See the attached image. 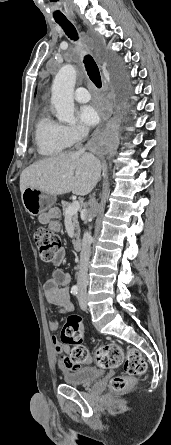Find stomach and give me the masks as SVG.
I'll return each instance as SVG.
<instances>
[{
	"label": "stomach",
	"instance_id": "1",
	"mask_svg": "<svg viewBox=\"0 0 171 445\" xmlns=\"http://www.w3.org/2000/svg\"><path fill=\"white\" fill-rule=\"evenodd\" d=\"M23 206L30 215L37 216L47 210H50L56 202L54 195L45 193L37 188L27 187L21 193ZM53 218H58V212L53 215Z\"/></svg>",
	"mask_w": 171,
	"mask_h": 445
}]
</instances>
